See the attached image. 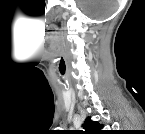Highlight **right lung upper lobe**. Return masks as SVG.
Segmentation results:
<instances>
[{"label": "right lung upper lobe", "mask_w": 145, "mask_h": 134, "mask_svg": "<svg viewBox=\"0 0 145 134\" xmlns=\"http://www.w3.org/2000/svg\"><path fill=\"white\" fill-rule=\"evenodd\" d=\"M83 127L85 130L83 132L84 134H103L104 133V131L101 130L103 128V125L99 124L96 121H92L90 117L85 119Z\"/></svg>", "instance_id": "right-lung-upper-lobe-1"}]
</instances>
